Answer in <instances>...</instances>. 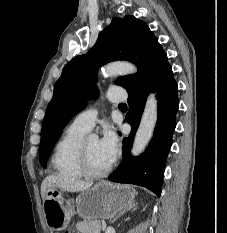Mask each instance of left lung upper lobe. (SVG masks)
Listing matches in <instances>:
<instances>
[{
    "mask_svg": "<svg viewBox=\"0 0 227 233\" xmlns=\"http://www.w3.org/2000/svg\"><path fill=\"white\" fill-rule=\"evenodd\" d=\"M115 60H128L139 68V73L118 77L115 81L128 93L147 89L148 84H153L170 66L162 46L146 23L132 15L114 18L88 53L65 65L55 83L42 125L39 156L43 167L62 129L91 97L98 95L94 84L97 69Z\"/></svg>",
    "mask_w": 227,
    "mask_h": 233,
    "instance_id": "1",
    "label": "left lung upper lobe"
}]
</instances>
